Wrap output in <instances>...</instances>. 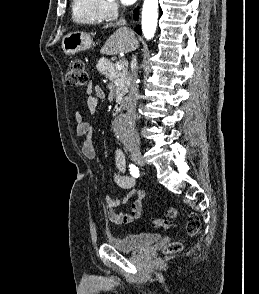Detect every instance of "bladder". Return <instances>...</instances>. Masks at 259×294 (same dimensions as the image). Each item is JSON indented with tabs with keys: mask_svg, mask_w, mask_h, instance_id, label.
<instances>
[{
	"mask_svg": "<svg viewBox=\"0 0 259 294\" xmlns=\"http://www.w3.org/2000/svg\"><path fill=\"white\" fill-rule=\"evenodd\" d=\"M159 238L158 233H130L111 237L108 243L121 252H134L153 244Z\"/></svg>",
	"mask_w": 259,
	"mask_h": 294,
	"instance_id": "1",
	"label": "bladder"
}]
</instances>
